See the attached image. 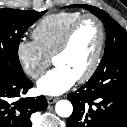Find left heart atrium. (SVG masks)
Wrapping results in <instances>:
<instances>
[{"mask_svg": "<svg viewBox=\"0 0 127 127\" xmlns=\"http://www.w3.org/2000/svg\"><path fill=\"white\" fill-rule=\"evenodd\" d=\"M76 80L67 69L56 66L38 81L37 89L42 94L57 96L71 88Z\"/></svg>", "mask_w": 127, "mask_h": 127, "instance_id": "obj_1", "label": "left heart atrium"}]
</instances>
